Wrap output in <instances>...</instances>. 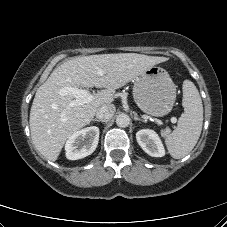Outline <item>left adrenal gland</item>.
Here are the masks:
<instances>
[{
    "label": "left adrenal gland",
    "mask_w": 227,
    "mask_h": 227,
    "mask_svg": "<svg viewBox=\"0 0 227 227\" xmlns=\"http://www.w3.org/2000/svg\"><path fill=\"white\" fill-rule=\"evenodd\" d=\"M134 120L145 122V120L139 118L137 115H134Z\"/></svg>",
    "instance_id": "1"
}]
</instances>
